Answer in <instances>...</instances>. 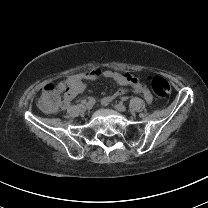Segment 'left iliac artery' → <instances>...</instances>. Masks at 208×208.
Segmentation results:
<instances>
[{"mask_svg":"<svg viewBox=\"0 0 208 208\" xmlns=\"http://www.w3.org/2000/svg\"><path fill=\"white\" fill-rule=\"evenodd\" d=\"M127 99H128L127 97H122L121 98L122 101H127Z\"/></svg>","mask_w":208,"mask_h":208,"instance_id":"1","label":"left iliac artery"}]
</instances>
